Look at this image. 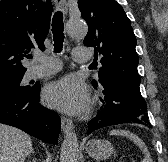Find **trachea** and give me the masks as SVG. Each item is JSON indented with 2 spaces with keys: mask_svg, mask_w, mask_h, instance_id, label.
Listing matches in <instances>:
<instances>
[{
  "mask_svg": "<svg viewBox=\"0 0 168 162\" xmlns=\"http://www.w3.org/2000/svg\"><path fill=\"white\" fill-rule=\"evenodd\" d=\"M52 33L54 41V52L60 53L62 51L64 41L63 14L60 11L56 12L53 16Z\"/></svg>",
  "mask_w": 168,
  "mask_h": 162,
  "instance_id": "1",
  "label": "trachea"
}]
</instances>
